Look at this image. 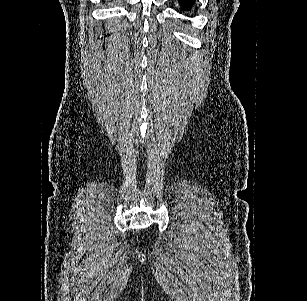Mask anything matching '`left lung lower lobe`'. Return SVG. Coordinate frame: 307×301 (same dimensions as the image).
Returning a JSON list of instances; mask_svg holds the SVG:
<instances>
[{
	"mask_svg": "<svg viewBox=\"0 0 307 301\" xmlns=\"http://www.w3.org/2000/svg\"><path fill=\"white\" fill-rule=\"evenodd\" d=\"M192 1L195 0H180L181 9H187L191 10V6L193 5Z\"/></svg>",
	"mask_w": 307,
	"mask_h": 301,
	"instance_id": "left-lung-lower-lobe-1",
	"label": "left lung lower lobe"
}]
</instances>
